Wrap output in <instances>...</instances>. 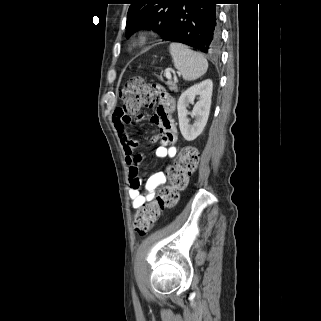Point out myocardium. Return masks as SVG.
I'll use <instances>...</instances> for the list:
<instances>
[{
    "mask_svg": "<svg viewBox=\"0 0 321 321\" xmlns=\"http://www.w3.org/2000/svg\"><path fill=\"white\" fill-rule=\"evenodd\" d=\"M148 41V36L145 33L136 35L131 41V47L136 49L145 45Z\"/></svg>",
    "mask_w": 321,
    "mask_h": 321,
    "instance_id": "1",
    "label": "myocardium"
}]
</instances>
